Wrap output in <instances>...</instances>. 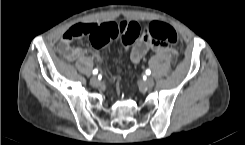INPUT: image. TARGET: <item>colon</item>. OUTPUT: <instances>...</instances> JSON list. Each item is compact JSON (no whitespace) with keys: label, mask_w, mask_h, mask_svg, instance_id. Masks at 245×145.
Listing matches in <instances>:
<instances>
[{"label":"colon","mask_w":245,"mask_h":145,"mask_svg":"<svg viewBox=\"0 0 245 145\" xmlns=\"http://www.w3.org/2000/svg\"><path fill=\"white\" fill-rule=\"evenodd\" d=\"M97 31L90 24L78 23L69 28L64 38L66 40L90 38L94 40ZM140 34V26L136 22H120L118 27H113L109 32L110 40L119 37L120 43L124 48H128ZM144 35L153 42L172 46L178 40L176 30L165 23L153 21L144 28Z\"/></svg>","instance_id":"1"}]
</instances>
